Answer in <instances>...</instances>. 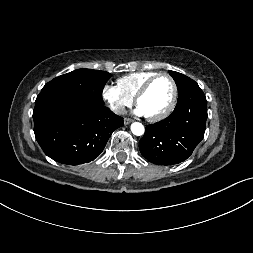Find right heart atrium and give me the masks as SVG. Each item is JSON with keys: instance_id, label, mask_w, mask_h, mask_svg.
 <instances>
[{"instance_id": "right-heart-atrium-1", "label": "right heart atrium", "mask_w": 253, "mask_h": 253, "mask_svg": "<svg viewBox=\"0 0 253 253\" xmlns=\"http://www.w3.org/2000/svg\"><path fill=\"white\" fill-rule=\"evenodd\" d=\"M102 98L116 114H122L125 108L133 103V99L127 96L118 85L114 84H105L103 86Z\"/></svg>"}]
</instances>
